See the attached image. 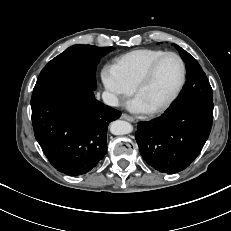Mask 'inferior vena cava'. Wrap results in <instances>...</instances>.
<instances>
[{
	"instance_id": "obj_1",
	"label": "inferior vena cava",
	"mask_w": 231,
	"mask_h": 231,
	"mask_svg": "<svg viewBox=\"0 0 231 231\" xmlns=\"http://www.w3.org/2000/svg\"><path fill=\"white\" fill-rule=\"evenodd\" d=\"M102 99L106 105L109 106H118L119 100L116 95L110 93V92H103Z\"/></svg>"
}]
</instances>
